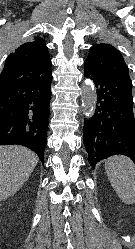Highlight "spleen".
<instances>
[{
  "label": "spleen",
  "instance_id": "1",
  "mask_svg": "<svg viewBox=\"0 0 135 249\" xmlns=\"http://www.w3.org/2000/svg\"><path fill=\"white\" fill-rule=\"evenodd\" d=\"M105 170L115 192L126 205L135 203V165L125 156L105 161Z\"/></svg>",
  "mask_w": 135,
  "mask_h": 249
}]
</instances>
